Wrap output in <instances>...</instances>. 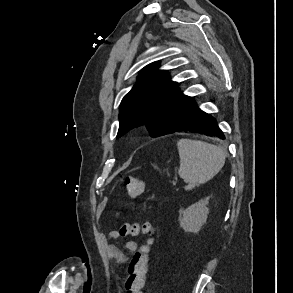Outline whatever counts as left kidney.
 Instances as JSON below:
<instances>
[{"label":"left kidney","instance_id":"left-kidney-1","mask_svg":"<svg viewBox=\"0 0 293 293\" xmlns=\"http://www.w3.org/2000/svg\"><path fill=\"white\" fill-rule=\"evenodd\" d=\"M208 201L209 197H206L180 211L179 222L185 232L197 233L206 223L209 214Z\"/></svg>","mask_w":293,"mask_h":293}]
</instances>
